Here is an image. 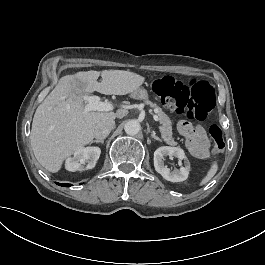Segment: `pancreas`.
<instances>
[{
  "label": "pancreas",
  "mask_w": 265,
  "mask_h": 265,
  "mask_svg": "<svg viewBox=\"0 0 265 265\" xmlns=\"http://www.w3.org/2000/svg\"><path fill=\"white\" fill-rule=\"evenodd\" d=\"M147 104H149L151 108H154L155 110L158 111L157 116L160 122V133H161V137L164 140V142L170 146L177 145L172 135L170 119L165 115V113L161 110V108L158 107L156 104H153L150 101H148Z\"/></svg>",
  "instance_id": "1"
}]
</instances>
